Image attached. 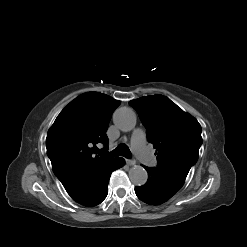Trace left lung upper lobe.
Returning a JSON list of instances; mask_svg holds the SVG:
<instances>
[{"mask_svg":"<svg viewBox=\"0 0 247 247\" xmlns=\"http://www.w3.org/2000/svg\"><path fill=\"white\" fill-rule=\"evenodd\" d=\"M130 105L138 111L148 141L156 148L157 169L181 188L198 159L200 124L163 95L144 96L131 100Z\"/></svg>","mask_w":247,"mask_h":247,"instance_id":"obj_1","label":"left lung upper lobe"}]
</instances>
